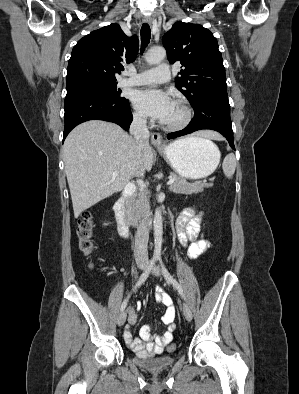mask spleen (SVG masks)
Here are the masks:
<instances>
[{
  "instance_id": "1",
  "label": "spleen",
  "mask_w": 299,
  "mask_h": 394,
  "mask_svg": "<svg viewBox=\"0 0 299 394\" xmlns=\"http://www.w3.org/2000/svg\"><path fill=\"white\" fill-rule=\"evenodd\" d=\"M222 169H223L224 175L227 178H229V179L232 178L233 174L235 173V169H236V159H235V155L233 153L226 155V157L224 158L223 163H222Z\"/></svg>"
}]
</instances>
